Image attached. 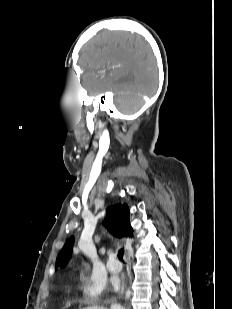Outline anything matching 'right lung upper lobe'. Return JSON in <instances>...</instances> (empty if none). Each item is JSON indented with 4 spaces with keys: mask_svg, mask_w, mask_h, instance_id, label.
<instances>
[{
    "mask_svg": "<svg viewBox=\"0 0 232 309\" xmlns=\"http://www.w3.org/2000/svg\"><path fill=\"white\" fill-rule=\"evenodd\" d=\"M104 225L111 231L115 237H131L133 234L132 226L129 222V208L125 204H118L107 209ZM74 240L69 239L63 246L57 256L55 267L65 266L72 252Z\"/></svg>",
    "mask_w": 232,
    "mask_h": 309,
    "instance_id": "1",
    "label": "right lung upper lobe"
}]
</instances>
